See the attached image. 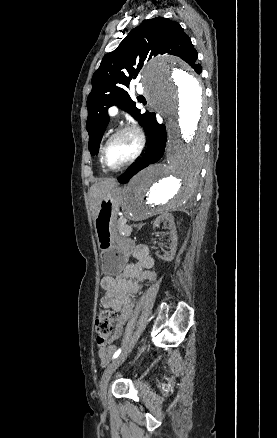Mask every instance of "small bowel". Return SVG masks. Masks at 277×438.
I'll use <instances>...</instances> for the list:
<instances>
[{
  "mask_svg": "<svg viewBox=\"0 0 277 438\" xmlns=\"http://www.w3.org/2000/svg\"><path fill=\"white\" fill-rule=\"evenodd\" d=\"M134 260L129 263L119 276H104L100 286L104 290L101 305L105 309L117 313L116 326L113 338H119L125 324L133 313V296L141 289V284L155 279V273L150 271L154 260L149 249L144 245H137L132 252ZM114 345L99 348L98 355L102 365H106L114 355Z\"/></svg>",
  "mask_w": 277,
  "mask_h": 438,
  "instance_id": "1",
  "label": "small bowel"
}]
</instances>
